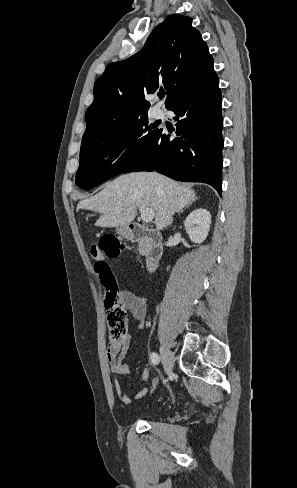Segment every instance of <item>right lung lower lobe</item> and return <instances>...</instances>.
<instances>
[{
	"instance_id": "98d812e1",
	"label": "right lung lower lobe",
	"mask_w": 297,
	"mask_h": 488,
	"mask_svg": "<svg viewBox=\"0 0 297 488\" xmlns=\"http://www.w3.org/2000/svg\"><path fill=\"white\" fill-rule=\"evenodd\" d=\"M217 75L179 99L169 110L176 130H159L123 173L157 171L183 182H204L222 191V100ZM177 136L170 139L171 136Z\"/></svg>"
}]
</instances>
